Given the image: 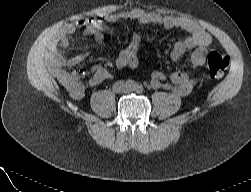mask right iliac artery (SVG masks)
Returning <instances> with one entry per match:
<instances>
[{
	"instance_id": "1",
	"label": "right iliac artery",
	"mask_w": 251,
	"mask_h": 192,
	"mask_svg": "<svg viewBox=\"0 0 251 192\" xmlns=\"http://www.w3.org/2000/svg\"><path fill=\"white\" fill-rule=\"evenodd\" d=\"M126 85H127L128 87H130V88H135L136 83H135L134 80L128 79V80L126 81Z\"/></svg>"
}]
</instances>
